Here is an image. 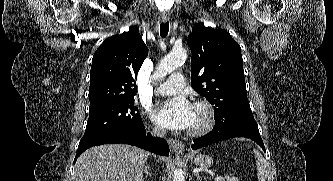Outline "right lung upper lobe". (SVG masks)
<instances>
[{
	"instance_id": "right-lung-upper-lobe-1",
	"label": "right lung upper lobe",
	"mask_w": 333,
	"mask_h": 181,
	"mask_svg": "<svg viewBox=\"0 0 333 181\" xmlns=\"http://www.w3.org/2000/svg\"><path fill=\"white\" fill-rule=\"evenodd\" d=\"M147 50L135 28L107 38L92 59L89 108L134 98L135 79L148 54Z\"/></svg>"
}]
</instances>
